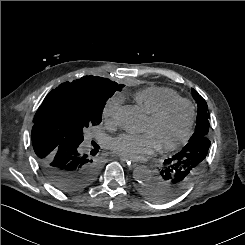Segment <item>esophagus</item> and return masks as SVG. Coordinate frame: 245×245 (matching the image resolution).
Wrapping results in <instances>:
<instances>
[{
	"instance_id": "esophagus-1",
	"label": "esophagus",
	"mask_w": 245,
	"mask_h": 245,
	"mask_svg": "<svg viewBox=\"0 0 245 245\" xmlns=\"http://www.w3.org/2000/svg\"><path fill=\"white\" fill-rule=\"evenodd\" d=\"M120 161L123 162L125 166L128 167L129 169H133L134 167L137 166L135 162L124 157H120Z\"/></svg>"
}]
</instances>
